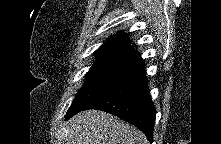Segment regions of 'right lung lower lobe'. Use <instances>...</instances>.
Segmentation results:
<instances>
[{"label":"right lung lower lobe","instance_id":"98d812e1","mask_svg":"<svg viewBox=\"0 0 221 144\" xmlns=\"http://www.w3.org/2000/svg\"><path fill=\"white\" fill-rule=\"evenodd\" d=\"M87 109L102 110L124 119L139 128L152 142L156 110L149 95L145 64L142 62L82 110Z\"/></svg>","mask_w":221,"mask_h":144}]
</instances>
